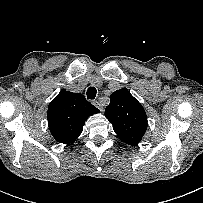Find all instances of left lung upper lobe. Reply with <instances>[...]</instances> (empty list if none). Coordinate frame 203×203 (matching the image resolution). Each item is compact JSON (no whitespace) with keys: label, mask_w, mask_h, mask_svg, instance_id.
<instances>
[{"label":"left lung upper lobe","mask_w":203,"mask_h":203,"mask_svg":"<svg viewBox=\"0 0 203 203\" xmlns=\"http://www.w3.org/2000/svg\"><path fill=\"white\" fill-rule=\"evenodd\" d=\"M105 116L112 123L119 139L129 145H137L147 130L146 113L127 89L111 94Z\"/></svg>","instance_id":"5c2ea615"}]
</instances>
